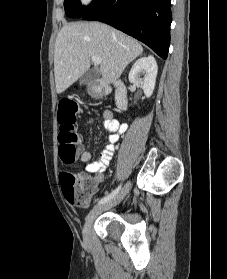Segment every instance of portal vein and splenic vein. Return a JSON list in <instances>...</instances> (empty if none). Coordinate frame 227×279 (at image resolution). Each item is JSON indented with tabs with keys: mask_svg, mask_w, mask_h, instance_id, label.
Returning <instances> with one entry per match:
<instances>
[{
	"mask_svg": "<svg viewBox=\"0 0 227 279\" xmlns=\"http://www.w3.org/2000/svg\"><path fill=\"white\" fill-rule=\"evenodd\" d=\"M91 60L95 65H99L101 63V59L99 57H96V56H92Z\"/></svg>",
	"mask_w": 227,
	"mask_h": 279,
	"instance_id": "portal-vein-and-splenic-vein-1",
	"label": "portal vein and splenic vein"
}]
</instances>
